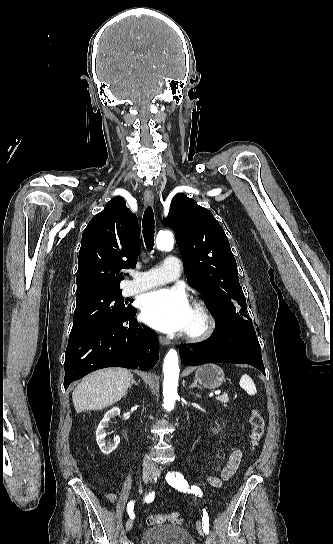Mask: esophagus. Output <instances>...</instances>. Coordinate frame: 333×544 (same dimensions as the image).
Here are the masks:
<instances>
[{
  "label": "esophagus",
  "mask_w": 333,
  "mask_h": 544,
  "mask_svg": "<svg viewBox=\"0 0 333 544\" xmlns=\"http://www.w3.org/2000/svg\"><path fill=\"white\" fill-rule=\"evenodd\" d=\"M144 202H145L146 205H153L154 204V194L149 189L145 190V192H144ZM159 342L162 345H169L170 344V340L167 339L164 336H159Z\"/></svg>",
  "instance_id": "1"
}]
</instances>
